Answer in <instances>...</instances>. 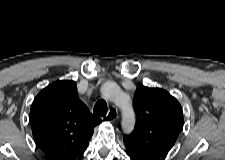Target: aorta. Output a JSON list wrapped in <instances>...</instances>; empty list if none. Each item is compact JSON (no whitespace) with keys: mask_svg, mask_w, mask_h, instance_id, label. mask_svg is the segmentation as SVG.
<instances>
[{"mask_svg":"<svg viewBox=\"0 0 225 160\" xmlns=\"http://www.w3.org/2000/svg\"><path fill=\"white\" fill-rule=\"evenodd\" d=\"M102 95L117 104L122 115V126L125 131L132 130L135 122V113L131 101L123 95L116 85L110 84L102 88Z\"/></svg>","mask_w":225,"mask_h":160,"instance_id":"1","label":"aorta"}]
</instances>
